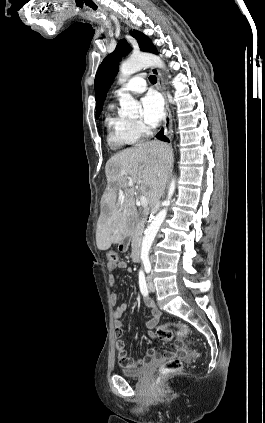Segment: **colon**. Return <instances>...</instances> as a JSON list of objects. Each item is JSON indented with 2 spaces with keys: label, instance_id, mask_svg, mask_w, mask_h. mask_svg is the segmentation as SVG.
<instances>
[{
  "label": "colon",
  "instance_id": "colon-1",
  "mask_svg": "<svg viewBox=\"0 0 265 423\" xmlns=\"http://www.w3.org/2000/svg\"><path fill=\"white\" fill-rule=\"evenodd\" d=\"M107 260H108V263H111V264L116 263L119 260L117 252L113 250L108 251ZM171 326H174L176 328V335L180 339H184L187 337L189 333V328L186 324H183V323L172 324L170 322H166L157 328L158 337L162 341L168 342L172 340V338L174 337V333L170 329ZM183 353L184 355H186V352L184 350H183ZM122 365L129 367L128 364H122ZM181 366H182V363L179 359H170L160 367L159 376H165L168 374L175 373L180 370Z\"/></svg>",
  "mask_w": 265,
  "mask_h": 423
}]
</instances>
